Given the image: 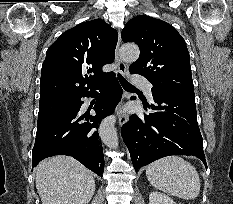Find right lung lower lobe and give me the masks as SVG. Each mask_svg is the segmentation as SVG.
Returning <instances> with one entry per match:
<instances>
[{
	"label": "right lung lower lobe",
	"instance_id": "1",
	"mask_svg": "<svg viewBox=\"0 0 233 204\" xmlns=\"http://www.w3.org/2000/svg\"><path fill=\"white\" fill-rule=\"evenodd\" d=\"M100 87H103V93L94 106L95 116L80 113L81 98L93 96L94 91H91L76 97L70 109L37 125L32 151L33 168L47 157L62 154L77 159L98 176L103 175L104 156L97 129L101 120L112 114L121 100L122 88L114 74Z\"/></svg>",
	"mask_w": 233,
	"mask_h": 204
}]
</instances>
